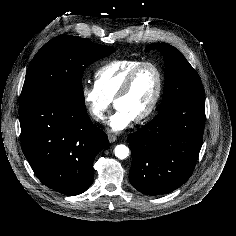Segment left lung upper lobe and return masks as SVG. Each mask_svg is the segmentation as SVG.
<instances>
[{
  "label": "left lung upper lobe",
  "mask_w": 236,
  "mask_h": 236,
  "mask_svg": "<svg viewBox=\"0 0 236 236\" xmlns=\"http://www.w3.org/2000/svg\"><path fill=\"white\" fill-rule=\"evenodd\" d=\"M157 49L165 62V85L159 112L169 106L189 100H204V90L198 73L175 47L152 43L145 51Z\"/></svg>",
  "instance_id": "5c2ea615"
}]
</instances>
